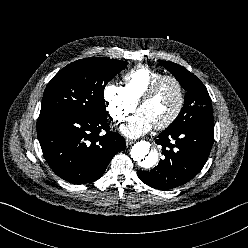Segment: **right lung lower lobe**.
<instances>
[{"label": "right lung lower lobe", "instance_id": "98d812e1", "mask_svg": "<svg viewBox=\"0 0 248 248\" xmlns=\"http://www.w3.org/2000/svg\"><path fill=\"white\" fill-rule=\"evenodd\" d=\"M108 130L107 118L76 114L41 112L37 121L46 161L57 176L74 184L99 179L114 155L126 148L125 139Z\"/></svg>", "mask_w": 248, "mask_h": 248}]
</instances>
